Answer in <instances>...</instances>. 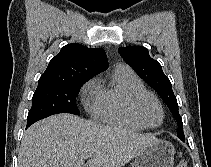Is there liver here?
I'll return each instance as SVG.
<instances>
[{
    "instance_id": "obj_1",
    "label": "liver",
    "mask_w": 211,
    "mask_h": 167,
    "mask_svg": "<svg viewBox=\"0 0 211 167\" xmlns=\"http://www.w3.org/2000/svg\"><path fill=\"white\" fill-rule=\"evenodd\" d=\"M155 141L152 134L58 114L24 132L18 167H122Z\"/></svg>"
}]
</instances>
